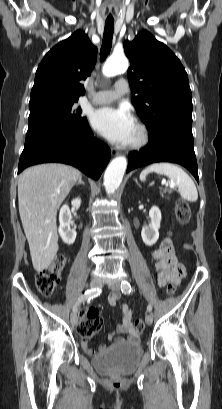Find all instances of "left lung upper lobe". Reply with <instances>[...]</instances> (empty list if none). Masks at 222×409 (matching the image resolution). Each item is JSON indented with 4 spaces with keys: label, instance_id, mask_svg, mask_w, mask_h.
Instances as JSON below:
<instances>
[{
    "label": "left lung upper lobe",
    "instance_id": "left-lung-upper-lobe-1",
    "mask_svg": "<svg viewBox=\"0 0 222 409\" xmlns=\"http://www.w3.org/2000/svg\"><path fill=\"white\" fill-rule=\"evenodd\" d=\"M124 50L131 63V100L149 132L166 124L191 128L188 75L175 54L146 30L133 41H125Z\"/></svg>",
    "mask_w": 222,
    "mask_h": 409
}]
</instances>
